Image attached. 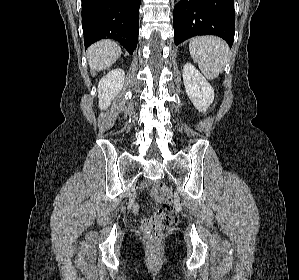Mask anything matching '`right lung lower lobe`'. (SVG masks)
I'll list each match as a JSON object with an SVG mask.
<instances>
[{
  "mask_svg": "<svg viewBox=\"0 0 299 280\" xmlns=\"http://www.w3.org/2000/svg\"><path fill=\"white\" fill-rule=\"evenodd\" d=\"M140 0H82L84 45L110 38L132 54L137 46Z\"/></svg>",
  "mask_w": 299,
  "mask_h": 280,
  "instance_id": "obj_1",
  "label": "right lung lower lobe"
}]
</instances>
